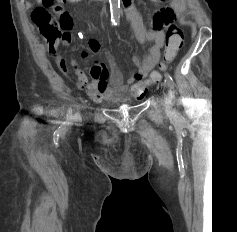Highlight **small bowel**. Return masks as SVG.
Returning a JSON list of instances; mask_svg holds the SVG:
<instances>
[{
  "label": "small bowel",
  "instance_id": "c3829d8e",
  "mask_svg": "<svg viewBox=\"0 0 237 232\" xmlns=\"http://www.w3.org/2000/svg\"><path fill=\"white\" fill-rule=\"evenodd\" d=\"M81 1L66 0L69 3H79ZM152 1L163 3L166 0ZM184 9L185 0H171L168 7L156 9L152 18V27L146 30L137 10L133 7L129 8L128 17L135 37L146 48V52L142 57H133L134 68L125 81L110 57V69L102 62L93 63L88 76L77 69L78 88L85 90L95 102L104 100L122 102L130 98L142 99L148 88V81L145 79L160 59V50L165 42L166 28L176 21ZM89 47L94 54H98L102 50L101 43L96 39L91 40ZM56 63L63 72H67L66 63L61 56L56 58Z\"/></svg>",
  "mask_w": 237,
  "mask_h": 232
}]
</instances>
